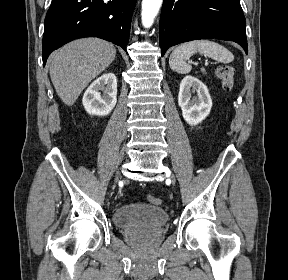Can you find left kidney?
I'll return each instance as SVG.
<instances>
[{"label": "left kidney", "instance_id": "1", "mask_svg": "<svg viewBox=\"0 0 288 280\" xmlns=\"http://www.w3.org/2000/svg\"><path fill=\"white\" fill-rule=\"evenodd\" d=\"M196 97H191L192 93ZM178 105L182 110L184 120L191 126L201 123L210 113L212 99L207 86L193 76H185L180 83Z\"/></svg>", "mask_w": 288, "mask_h": 280}]
</instances>
